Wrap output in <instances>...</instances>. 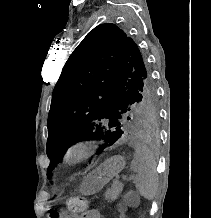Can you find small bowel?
<instances>
[{
  "instance_id": "c3829d8e",
  "label": "small bowel",
  "mask_w": 211,
  "mask_h": 218,
  "mask_svg": "<svg viewBox=\"0 0 211 218\" xmlns=\"http://www.w3.org/2000/svg\"><path fill=\"white\" fill-rule=\"evenodd\" d=\"M118 218H125L126 209L124 206L119 205L117 207ZM78 218H102L101 213L95 209H88L82 212V214Z\"/></svg>"
}]
</instances>
